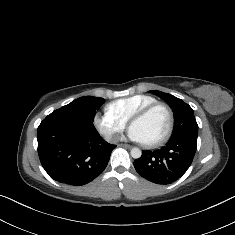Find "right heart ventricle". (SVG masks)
I'll return each mask as SVG.
<instances>
[{"mask_svg": "<svg viewBox=\"0 0 235 235\" xmlns=\"http://www.w3.org/2000/svg\"><path fill=\"white\" fill-rule=\"evenodd\" d=\"M154 103H158V101L153 96L144 93H138L119 98L110 105L116 115L128 121L136 113Z\"/></svg>", "mask_w": 235, "mask_h": 235, "instance_id": "e07e8e85", "label": "right heart ventricle"}]
</instances>
